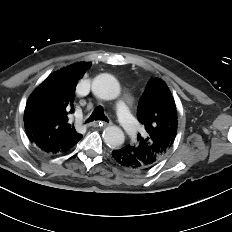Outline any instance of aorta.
<instances>
[{
  "label": "aorta",
  "instance_id": "762f6f07",
  "mask_svg": "<svg viewBox=\"0 0 232 232\" xmlns=\"http://www.w3.org/2000/svg\"><path fill=\"white\" fill-rule=\"evenodd\" d=\"M120 84L110 74H100L92 82V92L103 100H114L120 95ZM103 139L110 148H117L125 141V135L117 126L106 127L103 132Z\"/></svg>",
  "mask_w": 232,
  "mask_h": 232
}]
</instances>
